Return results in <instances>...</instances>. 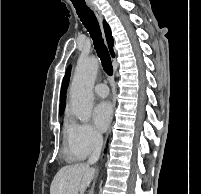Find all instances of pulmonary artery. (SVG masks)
<instances>
[{"label":"pulmonary artery","mask_w":201,"mask_h":194,"mask_svg":"<svg viewBox=\"0 0 201 194\" xmlns=\"http://www.w3.org/2000/svg\"><path fill=\"white\" fill-rule=\"evenodd\" d=\"M94 93L100 98H105L109 94V89L106 84L98 83L94 87Z\"/></svg>","instance_id":"pulmonary-artery-1"}]
</instances>
